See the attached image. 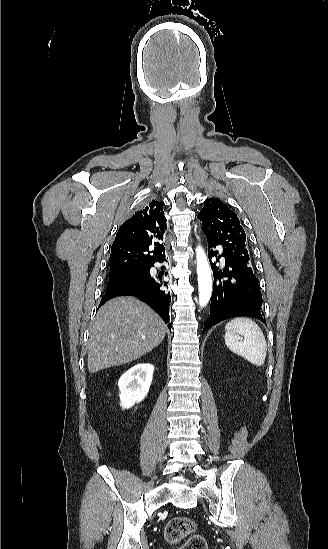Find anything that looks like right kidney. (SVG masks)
I'll return each instance as SVG.
<instances>
[{"instance_id":"1","label":"right kidney","mask_w":328,"mask_h":549,"mask_svg":"<svg viewBox=\"0 0 328 549\" xmlns=\"http://www.w3.org/2000/svg\"><path fill=\"white\" fill-rule=\"evenodd\" d=\"M154 367L150 363H138L126 371L118 381L122 407L129 409L145 399L152 383Z\"/></svg>"}]
</instances>
